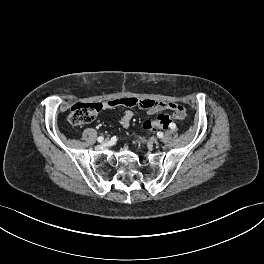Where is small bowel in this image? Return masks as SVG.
<instances>
[{
    "mask_svg": "<svg viewBox=\"0 0 264 264\" xmlns=\"http://www.w3.org/2000/svg\"><path fill=\"white\" fill-rule=\"evenodd\" d=\"M131 99L134 100V104L132 106H138L139 108L145 110L150 115L156 114L164 110H171L173 112L174 117H178V116L184 117V109L179 104L156 101V100H151V99H137V98H131ZM105 106H109V105L105 103ZM132 106H129V107H132ZM133 115L134 114L132 110L126 109L122 114V117L120 119V124L124 128L129 127L133 119Z\"/></svg>",
    "mask_w": 264,
    "mask_h": 264,
    "instance_id": "c3829d8e",
    "label": "small bowel"
}]
</instances>
